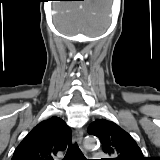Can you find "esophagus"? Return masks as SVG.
Instances as JSON below:
<instances>
[{
    "label": "esophagus",
    "instance_id": "esophagus-1",
    "mask_svg": "<svg viewBox=\"0 0 160 160\" xmlns=\"http://www.w3.org/2000/svg\"><path fill=\"white\" fill-rule=\"evenodd\" d=\"M82 140H83V132L81 129L75 131L73 141L77 142L82 147Z\"/></svg>",
    "mask_w": 160,
    "mask_h": 160
}]
</instances>
